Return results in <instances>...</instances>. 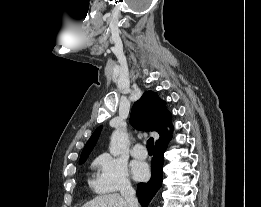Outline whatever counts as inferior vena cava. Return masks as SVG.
Returning <instances> with one entry per match:
<instances>
[{
  "label": "inferior vena cava",
  "instance_id": "1",
  "mask_svg": "<svg viewBox=\"0 0 261 207\" xmlns=\"http://www.w3.org/2000/svg\"><path fill=\"white\" fill-rule=\"evenodd\" d=\"M121 196L128 203L129 207H138V201L135 197V190L130 182H125L121 189Z\"/></svg>",
  "mask_w": 261,
  "mask_h": 207
}]
</instances>
